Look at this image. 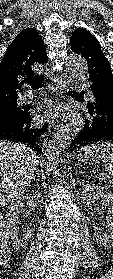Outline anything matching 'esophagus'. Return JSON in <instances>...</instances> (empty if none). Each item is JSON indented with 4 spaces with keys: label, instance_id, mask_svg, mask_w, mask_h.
<instances>
[{
    "label": "esophagus",
    "instance_id": "obj_1",
    "mask_svg": "<svg viewBox=\"0 0 113 279\" xmlns=\"http://www.w3.org/2000/svg\"><path fill=\"white\" fill-rule=\"evenodd\" d=\"M55 83H56L57 89H59V90L68 91L69 89H73L72 80L68 76L56 77ZM65 104H66L65 109L61 110V112H60V118L64 121L71 118V116L75 112V107H76L75 100L72 97H67Z\"/></svg>",
    "mask_w": 113,
    "mask_h": 279
}]
</instances>
